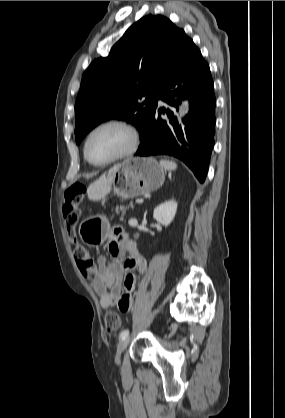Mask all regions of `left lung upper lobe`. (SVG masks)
I'll return each instance as SVG.
<instances>
[{
	"instance_id": "5c2ea615",
	"label": "left lung upper lobe",
	"mask_w": 285,
	"mask_h": 418,
	"mask_svg": "<svg viewBox=\"0 0 285 418\" xmlns=\"http://www.w3.org/2000/svg\"><path fill=\"white\" fill-rule=\"evenodd\" d=\"M184 36L168 18L148 15L128 28L107 57L94 60L83 74L75 103L76 143L113 118L132 123L143 139Z\"/></svg>"
}]
</instances>
